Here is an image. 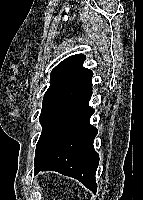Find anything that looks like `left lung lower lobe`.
<instances>
[{"mask_svg":"<svg viewBox=\"0 0 143 200\" xmlns=\"http://www.w3.org/2000/svg\"><path fill=\"white\" fill-rule=\"evenodd\" d=\"M92 76V71L85 68L42 107L43 130L36 146L34 174L58 171L78 179L95 193L99 155L93 147L98 131L89 123L94 113L88 105Z\"/></svg>","mask_w":143,"mask_h":200,"instance_id":"1","label":"left lung lower lobe"}]
</instances>
